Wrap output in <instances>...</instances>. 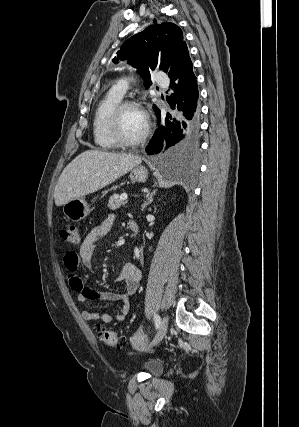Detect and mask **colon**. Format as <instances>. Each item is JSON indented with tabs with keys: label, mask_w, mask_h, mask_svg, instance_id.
Returning <instances> with one entry per match:
<instances>
[{
	"label": "colon",
	"mask_w": 299,
	"mask_h": 427,
	"mask_svg": "<svg viewBox=\"0 0 299 427\" xmlns=\"http://www.w3.org/2000/svg\"><path fill=\"white\" fill-rule=\"evenodd\" d=\"M61 236L70 244L79 245L81 243L80 229L77 225H69L62 229ZM97 332L100 340L109 346L121 348L124 344L123 338L113 331L97 327Z\"/></svg>",
	"instance_id": "colon-1"
}]
</instances>
